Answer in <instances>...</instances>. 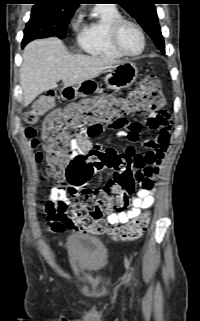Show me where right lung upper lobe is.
Returning <instances> with one entry per match:
<instances>
[{
    "instance_id": "1",
    "label": "right lung upper lobe",
    "mask_w": 200,
    "mask_h": 321,
    "mask_svg": "<svg viewBox=\"0 0 200 321\" xmlns=\"http://www.w3.org/2000/svg\"><path fill=\"white\" fill-rule=\"evenodd\" d=\"M34 6H46L57 12H72L83 0H35Z\"/></svg>"
}]
</instances>
